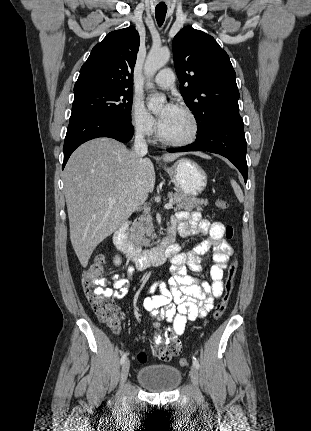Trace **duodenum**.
<instances>
[{
  "label": "duodenum",
  "mask_w": 311,
  "mask_h": 431,
  "mask_svg": "<svg viewBox=\"0 0 311 431\" xmlns=\"http://www.w3.org/2000/svg\"><path fill=\"white\" fill-rule=\"evenodd\" d=\"M127 223L121 224L114 232L113 242L138 267L160 264L170 258L174 250L176 233L169 229L168 235L155 247L142 249L127 237Z\"/></svg>",
  "instance_id": "obj_1"
}]
</instances>
